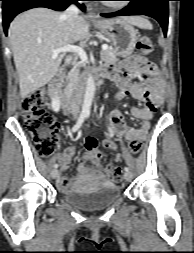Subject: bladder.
<instances>
[{
    "instance_id": "obj_1",
    "label": "bladder",
    "mask_w": 194,
    "mask_h": 253,
    "mask_svg": "<svg viewBox=\"0 0 194 253\" xmlns=\"http://www.w3.org/2000/svg\"><path fill=\"white\" fill-rule=\"evenodd\" d=\"M121 190L113 184H103L90 189H74L62 195L71 206L84 211H97L115 203Z\"/></svg>"
}]
</instances>
